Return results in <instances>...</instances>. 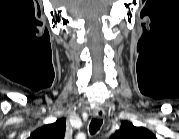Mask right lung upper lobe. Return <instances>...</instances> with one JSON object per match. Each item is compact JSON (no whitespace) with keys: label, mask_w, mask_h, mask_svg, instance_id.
<instances>
[{"label":"right lung upper lobe","mask_w":179,"mask_h":139,"mask_svg":"<svg viewBox=\"0 0 179 139\" xmlns=\"http://www.w3.org/2000/svg\"><path fill=\"white\" fill-rule=\"evenodd\" d=\"M66 129L65 119H58L55 123L45 125L32 133L30 139H63Z\"/></svg>","instance_id":"cb5924a9"}]
</instances>
